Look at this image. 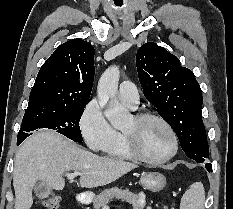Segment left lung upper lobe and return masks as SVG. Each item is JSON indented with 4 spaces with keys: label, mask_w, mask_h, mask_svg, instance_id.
<instances>
[{
    "label": "left lung upper lobe",
    "mask_w": 233,
    "mask_h": 209,
    "mask_svg": "<svg viewBox=\"0 0 233 209\" xmlns=\"http://www.w3.org/2000/svg\"><path fill=\"white\" fill-rule=\"evenodd\" d=\"M136 65L146 98L175 131L186 156L203 163L209 147L201 117L202 91L193 72L153 42L139 48Z\"/></svg>",
    "instance_id": "obj_1"
}]
</instances>
